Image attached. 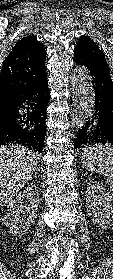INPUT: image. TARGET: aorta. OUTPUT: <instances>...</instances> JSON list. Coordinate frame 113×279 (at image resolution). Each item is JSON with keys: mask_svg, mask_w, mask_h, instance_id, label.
Segmentation results:
<instances>
[{"mask_svg": "<svg viewBox=\"0 0 113 279\" xmlns=\"http://www.w3.org/2000/svg\"><path fill=\"white\" fill-rule=\"evenodd\" d=\"M73 110L71 125L81 129L92 115L95 93L92 77L84 66H76L72 71Z\"/></svg>", "mask_w": 113, "mask_h": 279, "instance_id": "aorta-1", "label": "aorta"}]
</instances>
